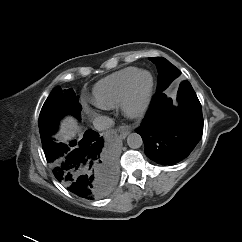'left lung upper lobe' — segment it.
Segmentation results:
<instances>
[{
    "label": "left lung upper lobe",
    "mask_w": 242,
    "mask_h": 242,
    "mask_svg": "<svg viewBox=\"0 0 242 242\" xmlns=\"http://www.w3.org/2000/svg\"><path fill=\"white\" fill-rule=\"evenodd\" d=\"M158 69L157 91H164L180 75V70L163 57L149 58Z\"/></svg>",
    "instance_id": "1"
}]
</instances>
